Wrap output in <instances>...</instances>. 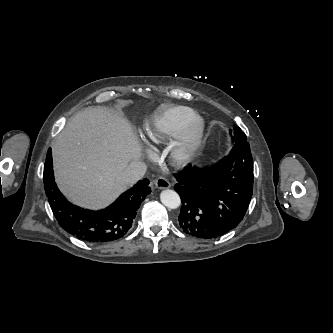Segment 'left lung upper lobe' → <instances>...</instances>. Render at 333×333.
I'll return each instance as SVG.
<instances>
[{"instance_id": "obj_1", "label": "left lung upper lobe", "mask_w": 333, "mask_h": 333, "mask_svg": "<svg viewBox=\"0 0 333 333\" xmlns=\"http://www.w3.org/2000/svg\"><path fill=\"white\" fill-rule=\"evenodd\" d=\"M241 140H244V138H237L236 140H234V142L241 141Z\"/></svg>"}]
</instances>
